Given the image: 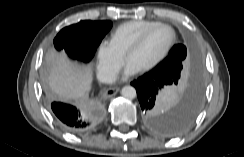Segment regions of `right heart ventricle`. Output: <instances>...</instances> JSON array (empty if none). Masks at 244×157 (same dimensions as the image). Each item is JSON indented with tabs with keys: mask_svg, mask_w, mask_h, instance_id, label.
<instances>
[{
	"mask_svg": "<svg viewBox=\"0 0 244 157\" xmlns=\"http://www.w3.org/2000/svg\"><path fill=\"white\" fill-rule=\"evenodd\" d=\"M160 23L152 20H131L119 25L111 35V43L116 50L124 55L127 48L147 28Z\"/></svg>",
	"mask_w": 244,
	"mask_h": 157,
	"instance_id": "obj_1",
	"label": "right heart ventricle"
}]
</instances>
